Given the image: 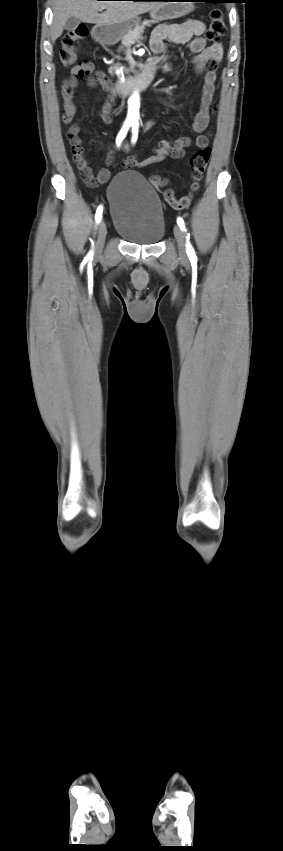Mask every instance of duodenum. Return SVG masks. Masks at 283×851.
<instances>
[{
	"label": "duodenum",
	"instance_id": "410a0bca",
	"mask_svg": "<svg viewBox=\"0 0 283 851\" xmlns=\"http://www.w3.org/2000/svg\"><path fill=\"white\" fill-rule=\"evenodd\" d=\"M156 69L157 61L152 58L147 61L139 75L117 80L113 85L117 89V95L126 96L132 91L148 87L154 79Z\"/></svg>",
	"mask_w": 283,
	"mask_h": 851
}]
</instances>
